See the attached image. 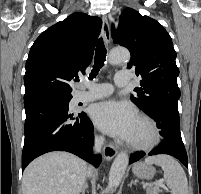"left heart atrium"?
Here are the masks:
<instances>
[{
	"label": "left heart atrium",
	"mask_w": 201,
	"mask_h": 194,
	"mask_svg": "<svg viewBox=\"0 0 201 194\" xmlns=\"http://www.w3.org/2000/svg\"><path fill=\"white\" fill-rule=\"evenodd\" d=\"M91 117L100 130L125 140L131 139L138 120L133 106L118 100L95 104L91 110Z\"/></svg>",
	"instance_id": "1"
}]
</instances>
